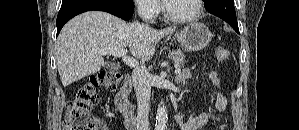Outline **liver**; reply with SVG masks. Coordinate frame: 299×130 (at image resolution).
<instances>
[{
	"mask_svg": "<svg viewBox=\"0 0 299 130\" xmlns=\"http://www.w3.org/2000/svg\"><path fill=\"white\" fill-rule=\"evenodd\" d=\"M176 27L155 30L139 23H126L106 12L89 11L71 19L56 42L57 68L64 87L98 72L105 65L99 49L130 48L142 61L150 60L156 44Z\"/></svg>",
	"mask_w": 299,
	"mask_h": 130,
	"instance_id": "obj_1",
	"label": "liver"
}]
</instances>
